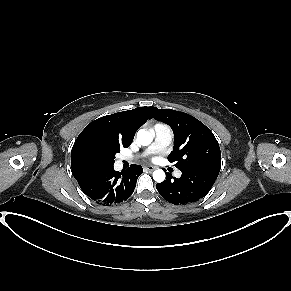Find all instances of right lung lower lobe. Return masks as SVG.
<instances>
[{
    "label": "right lung lower lobe",
    "instance_id": "98d812e1",
    "mask_svg": "<svg viewBox=\"0 0 291 291\" xmlns=\"http://www.w3.org/2000/svg\"><path fill=\"white\" fill-rule=\"evenodd\" d=\"M143 172L140 165H131L125 172L113 167L92 171L77 179L83 192L98 204L110 206L121 203L133 193L137 178Z\"/></svg>",
    "mask_w": 291,
    "mask_h": 291
}]
</instances>
